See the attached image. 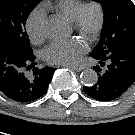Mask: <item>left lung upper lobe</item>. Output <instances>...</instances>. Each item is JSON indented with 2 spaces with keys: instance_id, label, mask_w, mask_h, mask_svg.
I'll list each match as a JSON object with an SVG mask.
<instances>
[{
  "instance_id": "5c2ea615",
  "label": "left lung upper lobe",
  "mask_w": 135,
  "mask_h": 135,
  "mask_svg": "<svg viewBox=\"0 0 135 135\" xmlns=\"http://www.w3.org/2000/svg\"><path fill=\"white\" fill-rule=\"evenodd\" d=\"M105 12L101 38L93 54L106 55L121 46H135V5L131 0H94Z\"/></svg>"
}]
</instances>
